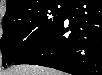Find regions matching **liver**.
Masks as SVG:
<instances>
[{
    "mask_svg": "<svg viewBox=\"0 0 102 75\" xmlns=\"http://www.w3.org/2000/svg\"><path fill=\"white\" fill-rule=\"evenodd\" d=\"M4 75H61L59 72L39 66L19 65L3 72Z\"/></svg>",
    "mask_w": 102,
    "mask_h": 75,
    "instance_id": "1",
    "label": "liver"
}]
</instances>
